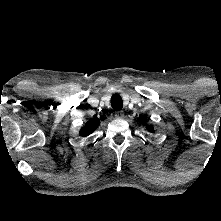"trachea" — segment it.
I'll list each match as a JSON object with an SVG mask.
<instances>
[{
	"instance_id": "3493384b",
	"label": "trachea",
	"mask_w": 221,
	"mask_h": 221,
	"mask_svg": "<svg viewBox=\"0 0 221 221\" xmlns=\"http://www.w3.org/2000/svg\"><path fill=\"white\" fill-rule=\"evenodd\" d=\"M111 106L115 109V110H121L123 107V101L122 98L119 94H114L111 97Z\"/></svg>"
}]
</instances>
